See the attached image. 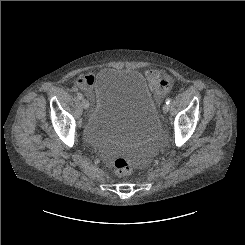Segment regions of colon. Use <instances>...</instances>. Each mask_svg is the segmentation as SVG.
Segmentation results:
<instances>
[{
    "instance_id": "obj_1",
    "label": "colon",
    "mask_w": 245,
    "mask_h": 245,
    "mask_svg": "<svg viewBox=\"0 0 245 245\" xmlns=\"http://www.w3.org/2000/svg\"><path fill=\"white\" fill-rule=\"evenodd\" d=\"M113 168L117 175L124 176L131 172L132 164L128 159L117 158L113 163Z\"/></svg>"
}]
</instances>
